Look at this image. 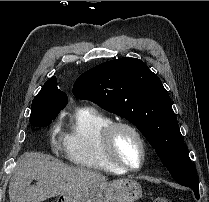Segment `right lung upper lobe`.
Here are the masks:
<instances>
[{"label": "right lung upper lobe", "mask_w": 209, "mask_h": 202, "mask_svg": "<svg viewBox=\"0 0 209 202\" xmlns=\"http://www.w3.org/2000/svg\"><path fill=\"white\" fill-rule=\"evenodd\" d=\"M39 93H51L53 95L48 101L49 104L63 108L67 105V95L58 89L56 77L47 80Z\"/></svg>", "instance_id": "cb5924a9"}]
</instances>
